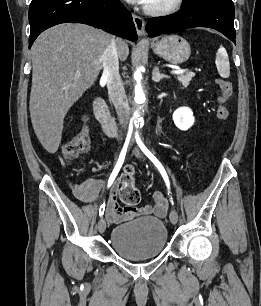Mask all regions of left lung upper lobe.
<instances>
[{
    "instance_id": "obj_1",
    "label": "left lung upper lobe",
    "mask_w": 261,
    "mask_h": 306,
    "mask_svg": "<svg viewBox=\"0 0 261 306\" xmlns=\"http://www.w3.org/2000/svg\"><path fill=\"white\" fill-rule=\"evenodd\" d=\"M196 1H199V0H183V5H189V4L194 3Z\"/></svg>"
}]
</instances>
